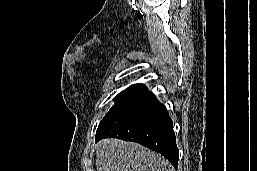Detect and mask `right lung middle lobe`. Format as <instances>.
Masks as SVG:
<instances>
[{
	"label": "right lung middle lobe",
	"instance_id": "right-lung-middle-lobe-1",
	"mask_svg": "<svg viewBox=\"0 0 257 171\" xmlns=\"http://www.w3.org/2000/svg\"><path fill=\"white\" fill-rule=\"evenodd\" d=\"M147 89L145 87H139L132 90H126L119 93L116 97V103L109 110V112L105 115L102 121L99 124V127L106 123L112 116H114L118 111H120L123 107L133 101L135 98L146 92Z\"/></svg>",
	"mask_w": 257,
	"mask_h": 171
}]
</instances>
